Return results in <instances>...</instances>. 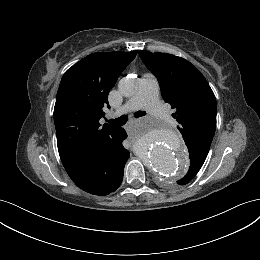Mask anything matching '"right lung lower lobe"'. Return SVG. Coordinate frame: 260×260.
I'll list each match as a JSON object with an SVG mask.
<instances>
[{"instance_id":"98d812e1","label":"right lung lower lobe","mask_w":260,"mask_h":260,"mask_svg":"<svg viewBox=\"0 0 260 260\" xmlns=\"http://www.w3.org/2000/svg\"><path fill=\"white\" fill-rule=\"evenodd\" d=\"M126 137V131L120 128L112 139L65 167L72 181L94 195H108L115 191L122 182L124 166L130 156L122 145Z\"/></svg>"}]
</instances>
